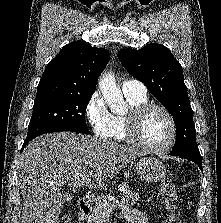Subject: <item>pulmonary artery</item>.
<instances>
[{"instance_id":"e3ab8cb5","label":"pulmonary artery","mask_w":221,"mask_h":223,"mask_svg":"<svg viewBox=\"0 0 221 223\" xmlns=\"http://www.w3.org/2000/svg\"><path fill=\"white\" fill-rule=\"evenodd\" d=\"M122 91L125 95H145V85L137 79H127L122 83Z\"/></svg>"}]
</instances>
